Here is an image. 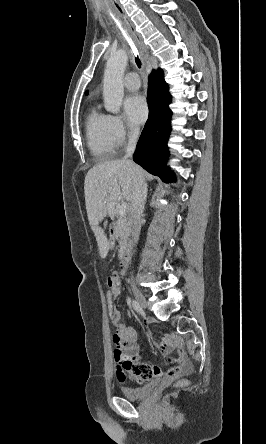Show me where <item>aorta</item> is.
Returning <instances> with one entry per match:
<instances>
[{"label":"aorta","instance_id":"1","mask_svg":"<svg viewBox=\"0 0 266 444\" xmlns=\"http://www.w3.org/2000/svg\"><path fill=\"white\" fill-rule=\"evenodd\" d=\"M128 56L124 50L111 53L104 72L103 96L106 111L118 113L124 96L123 75Z\"/></svg>","mask_w":266,"mask_h":444}]
</instances>
